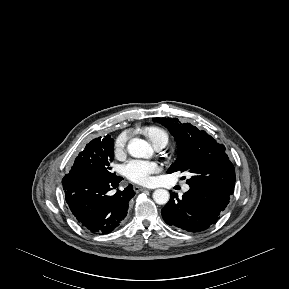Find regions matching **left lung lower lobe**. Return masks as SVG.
Returning <instances> with one entry per match:
<instances>
[{"mask_svg":"<svg viewBox=\"0 0 289 289\" xmlns=\"http://www.w3.org/2000/svg\"><path fill=\"white\" fill-rule=\"evenodd\" d=\"M230 197L190 186L181 199L172 193L161 210L164 221L189 232L206 230L214 224L229 203Z\"/></svg>","mask_w":289,"mask_h":289,"instance_id":"1","label":"left lung lower lobe"}]
</instances>
